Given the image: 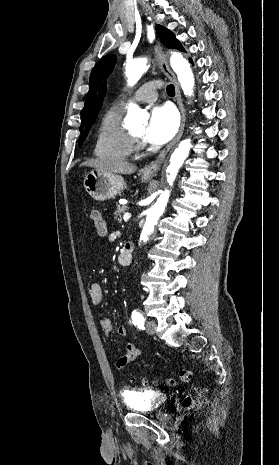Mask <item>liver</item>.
Instances as JSON below:
<instances>
[{"mask_svg":"<svg viewBox=\"0 0 279 465\" xmlns=\"http://www.w3.org/2000/svg\"><path fill=\"white\" fill-rule=\"evenodd\" d=\"M81 166H89L94 167L96 170L101 172H109V173H121V174H131L137 170V166L126 161L118 160V159H91L85 161L81 164Z\"/></svg>","mask_w":279,"mask_h":465,"instance_id":"obj_1","label":"liver"}]
</instances>
